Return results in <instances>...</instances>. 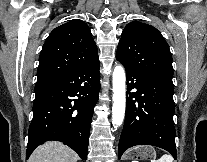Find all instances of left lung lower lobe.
<instances>
[{
	"label": "left lung lower lobe",
	"mask_w": 207,
	"mask_h": 162,
	"mask_svg": "<svg viewBox=\"0 0 207 162\" xmlns=\"http://www.w3.org/2000/svg\"><path fill=\"white\" fill-rule=\"evenodd\" d=\"M125 69L128 97L119 159L128 148L147 144L165 149L177 160L173 82ZM132 89L136 92H130Z\"/></svg>",
	"instance_id": "1"
}]
</instances>
